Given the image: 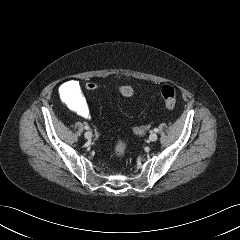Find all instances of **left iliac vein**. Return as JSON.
Returning <instances> with one entry per match:
<instances>
[{
    "label": "left iliac vein",
    "mask_w": 240,
    "mask_h": 240,
    "mask_svg": "<svg viewBox=\"0 0 240 240\" xmlns=\"http://www.w3.org/2000/svg\"><path fill=\"white\" fill-rule=\"evenodd\" d=\"M157 138H158V135L154 132L149 135V140L152 142L156 141Z\"/></svg>",
    "instance_id": "1"
}]
</instances>
